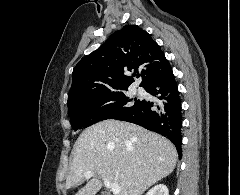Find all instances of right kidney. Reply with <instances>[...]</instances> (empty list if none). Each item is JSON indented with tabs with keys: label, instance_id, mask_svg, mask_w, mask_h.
<instances>
[{
	"label": "right kidney",
	"instance_id": "obj_1",
	"mask_svg": "<svg viewBox=\"0 0 240 195\" xmlns=\"http://www.w3.org/2000/svg\"><path fill=\"white\" fill-rule=\"evenodd\" d=\"M146 195H169V189L164 183H158V185H154L152 189H149Z\"/></svg>",
	"mask_w": 240,
	"mask_h": 195
}]
</instances>
